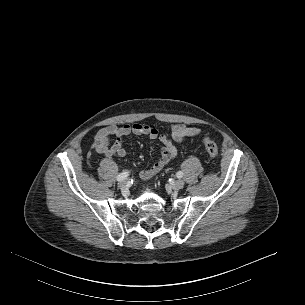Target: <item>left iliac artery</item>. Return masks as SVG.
Listing matches in <instances>:
<instances>
[{
  "label": "left iliac artery",
  "instance_id": "44dca946",
  "mask_svg": "<svg viewBox=\"0 0 305 305\" xmlns=\"http://www.w3.org/2000/svg\"><path fill=\"white\" fill-rule=\"evenodd\" d=\"M176 175H177L178 178H181L183 176V172L182 171H178Z\"/></svg>",
  "mask_w": 305,
  "mask_h": 305
}]
</instances>
